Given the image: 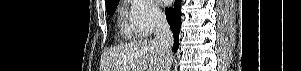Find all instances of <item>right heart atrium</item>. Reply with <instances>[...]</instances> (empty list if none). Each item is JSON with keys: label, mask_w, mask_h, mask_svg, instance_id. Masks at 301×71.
I'll return each instance as SVG.
<instances>
[{"label": "right heart atrium", "mask_w": 301, "mask_h": 71, "mask_svg": "<svg viewBox=\"0 0 301 71\" xmlns=\"http://www.w3.org/2000/svg\"><path fill=\"white\" fill-rule=\"evenodd\" d=\"M128 24L138 37H148L163 23V14L152 0H128Z\"/></svg>", "instance_id": "1"}]
</instances>
